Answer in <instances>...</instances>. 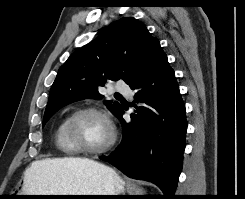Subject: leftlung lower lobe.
Returning <instances> with one entry per match:
<instances>
[{
  "mask_svg": "<svg viewBox=\"0 0 245 199\" xmlns=\"http://www.w3.org/2000/svg\"><path fill=\"white\" fill-rule=\"evenodd\" d=\"M135 102L142 105L131 114V122L118 114L123 139L116 150L101 160L127 176L153 182L173 197L181 173L187 122L185 105L173 69L163 50L152 59L145 73L130 84Z\"/></svg>",
  "mask_w": 245,
  "mask_h": 199,
  "instance_id": "left-lung-lower-lobe-1",
  "label": "left lung lower lobe"
}]
</instances>
